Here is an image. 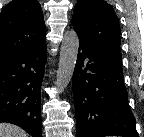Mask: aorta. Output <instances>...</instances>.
<instances>
[{
	"instance_id": "obj_1",
	"label": "aorta",
	"mask_w": 144,
	"mask_h": 137,
	"mask_svg": "<svg viewBox=\"0 0 144 137\" xmlns=\"http://www.w3.org/2000/svg\"><path fill=\"white\" fill-rule=\"evenodd\" d=\"M78 49L79 38L77 33L74 30L67 31L64 34L61 44L56 80L57 88L61 92L64 91L72 79L77 61Z\"/></svg>"
}]
</instances>
